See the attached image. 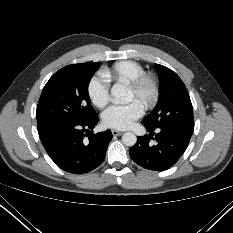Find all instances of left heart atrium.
I'll use <instances>...</instances> for the list:
<instances>
[{
	"label": "left heart atrium",
	"mask_w": 233,
	"mask_h": 233,
	"mask_svg": "<svg viewBox=\"0 0 233 233\" xmlns=\"http://www.w3.org/2000/svg\"><path fill=\"white\" fill-rule=\"evenodd\" d=\"M143 110V105L138 100L113 105L103 113V123L110 128L125 130L142 116Z\"/></svg>",
	"instance_id": "obj_1"
}]
</instances>
